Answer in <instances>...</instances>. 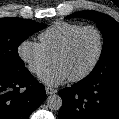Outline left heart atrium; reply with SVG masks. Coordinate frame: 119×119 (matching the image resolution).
<instances>
[{"mask_svg":"<svg viewBox=\"0 0 119 119\" xmlns=\"http://www.w3.org/2000/svg\"><path fill=\"white\" fill-rule=\"evenodd\" d=\"M40 79L51 86L59 85L69 79L67 73L58 65H54L40 75Z\"/></svg>","mask_w":119,"mask_h":119,"instance_id":"39dd6f15","label":"left heart atrium"}]
</instances>
